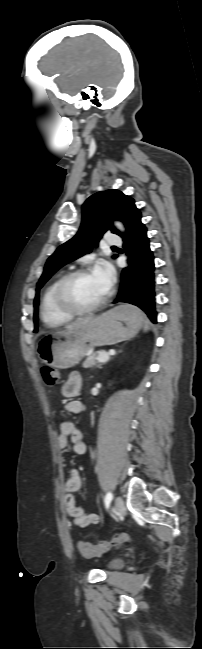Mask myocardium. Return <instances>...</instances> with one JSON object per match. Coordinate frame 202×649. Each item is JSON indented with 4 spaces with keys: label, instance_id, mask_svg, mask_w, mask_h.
I'll list each match as a JSON object with an SVG mask.
<instances>
[{
    "label": "myocardium",
    "instance_id": "f54148a6",
    "mask_svg": "<svg viewBox=\"0 0 202 649\" xmlns=\"http://www.w3.org/2000/svg\"><path fill=\"white\" fill-rule=\"evenodd\" d=\"M88 273H90V268L83 267V268L76 269L66 274L64 277H62V279L59 281L56 287L55 290L56 301L60 306V308L63 311L67 312L68 314H71L73 316H82V315L90 314L98 310L100 307H102L107 302L110 296V292L107 291L101 300L85 308L78 307L72 302L69 296V288L71 284L76 278L86 275Z\"/></svg>",
    "mask_w": 202,
    "mask_h": 649
}]
</instances>
